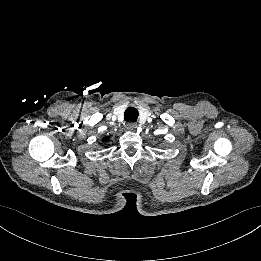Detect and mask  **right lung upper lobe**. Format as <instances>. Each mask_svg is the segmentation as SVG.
<instances>
[{
	"label": "right lung upper lobe",
	"instance_id": "right-lung-upper-lobe-1",
	"mask_svg": "<svg viewBox=\"0 0 261 261\" xmlns=\"http://www.w3.org/2000/svg\"><path fill=\"white\" fill-rule=\"evenodd\" d=\"M107 140H108V137H104V138H103V141H107Z\"/></svg>",
	"mask_w": 261,
	"mask_h": 261
}]
</instances>
